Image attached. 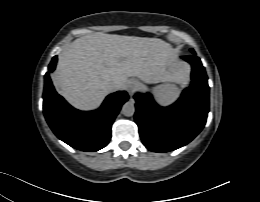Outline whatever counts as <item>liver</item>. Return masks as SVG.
I'll list each match as a JSON object with an SVG mask.
<instances>
[{
  "label": "liver",
  "mask_w": 260,
  "mask_h": 202,
  "mask_svg": "<svg viewBox=\"0 0 260 202\" xmlns=\"http://www.w3.org/2000/svg\"><path fill=\"white\" fill-rule=\"evenodd\" d=\"M171 48L155 38L92 33L74 40L58 57L53 83L72 106L97 108L113 89L128 86V77H170Z\"/></svg>",
  "instance_id": "6515ba94"
}]
</instances>
